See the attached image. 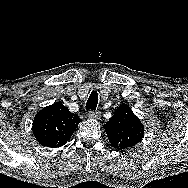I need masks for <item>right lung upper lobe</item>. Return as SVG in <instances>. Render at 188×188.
I'll use <instances>...</instances> for the list:
<instances>
[{
    "label": "right lung upper lobe",
    "mask_w": 188,
    "mask_h": 188,
    "mask_svg": "<svg viewBox=\"0 0 188 188\" xmlns=\"http://www.w3.org/2000/svg\"><path fill=\"white\" fill-rule=\"evenodd\" d=\"M80 119L59 102L40 110L33 121L36 140L46 147H61L76 130Z\"/></svg>",
    "instance_id": "right-lung-upper-lobe-1"
}]
</instances>
